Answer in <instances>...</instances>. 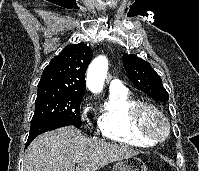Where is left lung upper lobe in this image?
I'll return each instance as SVG.
<instances>
[{"label":"left lung upper lobe","instance_id":"obj_1","mask_svg":"<svg viewBox=\"0 0 199 171\" xmlns=\"http://www.w3.org/2000/svg\"><path fill=\"white\" fill-rule=\"evenodd\" d=\"M123 65L129 80L156 101H168L160 76L151 65L136 55L123 54Z\"/></svg>","mask_w":199,"mask_h":171}]
</instances>
